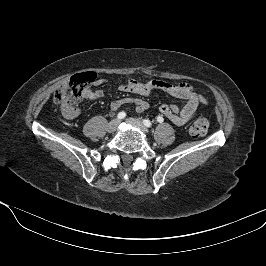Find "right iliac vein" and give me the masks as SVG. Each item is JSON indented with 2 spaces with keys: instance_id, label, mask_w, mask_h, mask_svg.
<instances>
[{
  "instance_id": "1",
  "label": "right iliac vein",
  "mask_w": 266,
  "mask_h": 266,
  "mask_svg": "<svg viewBox=\"0 0 266 266\" xmlns=\"http://www.w3.org/2000/svg\"><path fill=\"white\" fill-rule=\"evenodd\" d=\"M120 121L118 119H114L111 122H109L108 126H107V131L112 133L114 131H116V129L118 128Z\"/></svg>"
}]
</instances>
